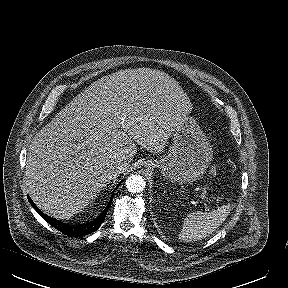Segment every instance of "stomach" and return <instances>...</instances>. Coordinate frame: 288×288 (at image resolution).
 <instances>
[{"label": "stomach", "instance_id": "1", "mask_svg": "<svg viewBox=\"0 0 288 288\" xmlns=\"http://www.w3.org/2000/svg\"><path fill=\"white\" fill-rule=\"evenodd\" d=\"M212 161L209 140L192 117H185L173 133V143L167 156L145 163L149 170L158 168L172 182L193 183L206 171Z\"/></svg>", "mask_w": 288, "mask_h": 288}]
</instances>
